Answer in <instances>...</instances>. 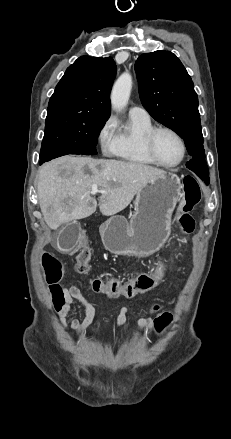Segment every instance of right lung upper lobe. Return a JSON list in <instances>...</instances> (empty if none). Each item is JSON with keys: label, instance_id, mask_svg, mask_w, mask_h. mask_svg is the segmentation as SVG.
Instances as JSON below:
<instances>
[{"label": "right lung upper lobe", "instance_id": "1", "mask_svg": "<svg viewBox=\"0 0 231 439\" xmlns=\"http://www.w3.org/2000/svg\"><path fill=\"white\" fill-rule=\"evenodd\" d=\"M116 75L111 57L81 56L69 66L50 98L47 117L62 114L110 116V91Z\"/></svg>", "mask_w": 231, "mask_h": 439}]
</instances>
